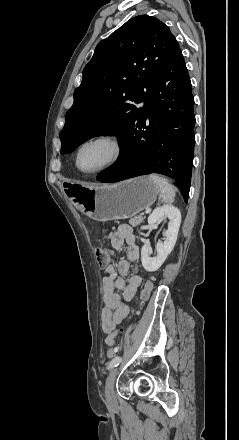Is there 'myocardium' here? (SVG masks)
<instances>
[{"label": "myocardium", "mask_w": 239, "mask_h": 440, "mask_svg": "<svg viewBox=\"0 0 239 440\" xmlns=\"http://www.w3.org/2000/svg\"><path fill=\"white\" fill-rule=\"evenodd\" d=\"M100 141L107 142L111 145L112 151H113L112 157L105 165L101 166L98 169H95L92 171L81 170L79 167V158H80L81 151L87 145L94 143V142H100ZM123 152H124L123 142L116 134L108 133V132L95 134V135H92V136L88 137L87 139H85L79 145V147L76 151V154H75V166H76L77 170L84 175L101 174V173H104V172L112 169L113 167H115L119 163L120 159L122 158Z\"/></svg>", "instance_id": "myocardium-1"}]
</instances>
